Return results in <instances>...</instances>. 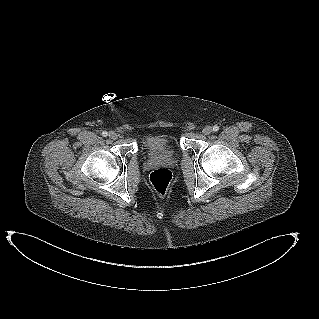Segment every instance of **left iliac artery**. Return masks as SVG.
I'll list each match as a JSON object with an SVG mask.
<instances>
[{"instance_id":"left-iliac-artery-1","label":"left iliac artery","mask_w":319,"mask_h":319,"mask_svg":"<svg viewBox=\"0 0 319 319\" xmlns=\"http://www.w3.org/2000/svg\"><path fill=\"white\" fill-rule=\"evenodd\" d=\"M219 130V127L217 125L213 126V131L217 132Z\"/></svg>"}]
</instances>
